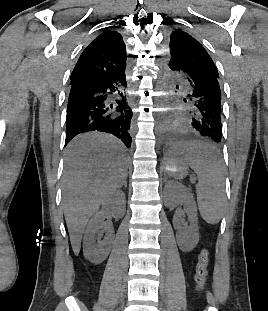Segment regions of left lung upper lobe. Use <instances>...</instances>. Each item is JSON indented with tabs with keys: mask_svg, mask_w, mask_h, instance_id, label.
I'll return each mask as SVG.
<instances>
[{
	"mask_svg": "<svg viewBox=\"0 0 268 311\" xmlns=\"http://www.w3.org/2000/svg\"><path fill=\"white\" fill-rule=\"evenodd\" d=\"M167 62L168 65L180 63L186 66H202L219 78L217 67L206 49L199 41L181 29H175L170 34Z\"/></svg>",
	"mask_w": 268,
	"mask_h": 311,
	"instance_id": "left-lung-upper-lobe-1",
	"label": "left lung upper lobe"
}]
</instances>
